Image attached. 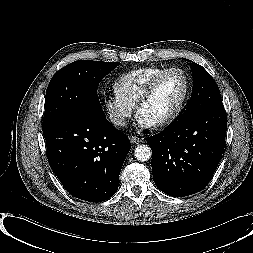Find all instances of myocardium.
<instances>
[{
  "instance_id": "obj_1",
  "label": "myocardium",
  "mask_w": 253,
  "mask_h": 253,
  "mask_svg": "<svg viewBox=\"0 0 253 253\" xmlns=\"http://www.w3.org/2000/svg\"><path fill=\"white\" fill-rule=\"evenodd\" d=\"M170 74H179L184 81V93L176 109L167 117L153 124L154 127H164L173 123L183 112L190 96V81L186 73L180 68H169L156 76L145 88L136 103V113L152 98L161 81Z\"/></svg>"
}]
</instances>
